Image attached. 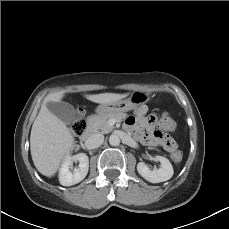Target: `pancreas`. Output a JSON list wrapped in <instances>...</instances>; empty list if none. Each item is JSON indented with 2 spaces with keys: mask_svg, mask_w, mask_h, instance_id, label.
Wrapping results in <instances>:
<instances>
[{
  "mask_svg": "<svg viewBox=\"0 0 229 229\" xmlns=\"http://www.w3.org/2000/svg\"><path fill=\"white\" fill-rule=\"evenodd\" d=\"M124 118L125 114L123 113L100 116L92 123V128L94 131L100 130L102 133H109L114 129V126L109 124V120L121 121Z\"/></svg>",
  "mask_w": 229,
  "mask_h": 229,
  "instance_id": "pancreas-1",
  "label": "pancreas"
}]
</instances>
